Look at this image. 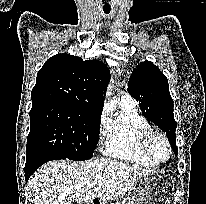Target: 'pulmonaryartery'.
<instances>
[{
    "instance_id": "e3ab8cb5",
    "label": "pulmonary artery",
    "mask_w": 206,
    "mask_h": 204,
    "mask_svg": "<svg viewBox=\"0 0 206 204\" xmlns=\"http://www.w3.org/2000/svg\"><path fill=\"white\" fill-rule=\"evenodd\" d=\"M120 100L131 104L135 103L134 99L128 93H122Z\"/></svg>"
}]
</instances>
